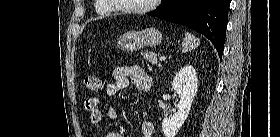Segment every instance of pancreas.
Here are the masks:
<instances>
[{
  "label": "pancreas",
  "mask_w": 280,
  "mask_h": 137,
  "mask_svg": "<svg viewBox=\"0 0 280 137\" xmlns=\"http://www.w3.org/2000/svg\"><path fill=\"white\" fill-rule=\"evenodd\" d=\"M143 57L148 63H157V55L153 52H145Z\"/></svg>",
  "instance_id": "cf45deb5"
}]
</instances>
